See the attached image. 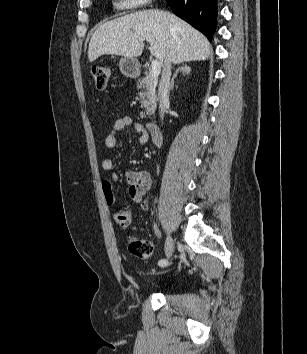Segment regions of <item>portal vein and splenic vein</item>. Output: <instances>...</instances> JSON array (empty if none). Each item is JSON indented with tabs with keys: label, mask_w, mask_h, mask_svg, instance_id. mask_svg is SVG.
Wrapping results in <instances>:
<instances>
[{
	"label": "portal vein and splenic vein",
	"mask_w": 307,
	"mask_h": 354,
	"mask_svg": "<svg viewBox=\"0 0 307 354\" xmlns=\"http://www.w3.org/2000/svg\"><path fill=\"white\" fill-rule=\"evenodd\" d=\"M140 41H143V39H140ZM160 70H161L160 62L158 60H153L151 63V70L149 75L152 78L156 79L160 74Z\"/></svg>",
	"instance_id": "portal-vein-and-splenic-vein-1"
}]
</instances>
